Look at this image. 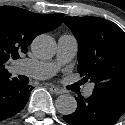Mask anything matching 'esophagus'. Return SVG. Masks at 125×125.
<instances>
[{"label": "esophagus", "instance_id": "esophagus-1", "mask_svg": "<svg viewBox=\"0 0 125 125\" xmlns=\"http://www.w3.org/2000/svg\"><path fill=\"white\" fill-rule=\"evenodd\" d=\"M49 89H50L51 92H53L56 95L62 94V90L60 88L56 87V86L50 85Z\"/></svg>", "mask_w": 125, "mask_h": 125}]
</instances>
